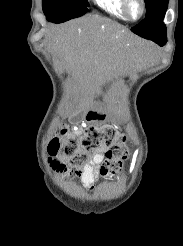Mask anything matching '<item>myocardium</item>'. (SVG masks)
<instances>
[{
  "label": "myocardium",
  "instance_id": "1",
  "mask_svg": "<svg viewBox=\"0 0 183 246\" xmlns=\"http://www.w3.org/2000/svg\"><path fill=\"white\" fill-rule=\"evenodd\" d=\"M134 1L138 3L139 8H140L139 14L136 17H133L130 12L131 4ZM122 2H123V10L128 20L138 21L144 16L146 12V4L144 0H122Z\"/></svg>",
  "mask_w": 183,
  "mask_h": 246
}]
</instances>
